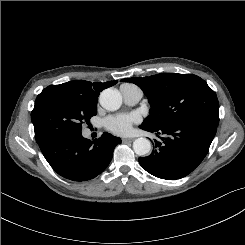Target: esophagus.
Listing matches in <instances>:
<instances>
[{"instance_id": "34e87169", "label": "esophagus", "mask_w": 245, "mask_h": 245, "mask_svg": "<svg viewBox=\"0 0 245 245\" xmlns=\"http://www.w3.org/2000/svg\"><path fill=\"white\" fill-rule=\"evenodd\" d=\"M134 139L133 138H123L122 142L123 143H128V142H132Z\"/></svg>"}]
</instances>
